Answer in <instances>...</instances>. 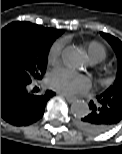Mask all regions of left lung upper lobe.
<instances>
[{
	"label": "left lung upper lobe",
	"mask_w": 122,
	"mask_h": 154,
	"mask_svg": "<svg viewBox=\"0 0 122 154\" xmlns=\"http://www.w3.org/2000/svg\"><path fill=\"white\" fill-rule=\"evenodd\" d=\"M101 35L112 45L118 59L116 80L104 93L116 96L122 102V42L110 34L101 33Z\"/></svg>",
	"instance_id": "1"
}]
</instances>
